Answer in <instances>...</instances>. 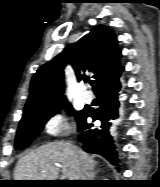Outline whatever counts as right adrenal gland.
<instances>
[{
  "instance_id": "1",
  "label": "right adrenal gland",
  "mask_w": 160,
  "mask_h": 187,
  "mask_svg": "<svg viewBox=\"0 0 160 187\" xmlns=\"http://www.w3.org/2000/svg\"><path fill=\"white\" fill-rule=\"evenodd\" d=\"M99 172V170H94V168H92L90 171H89V179L90 180H94L96 174Z\"/></svg>"
}]
</instances>
